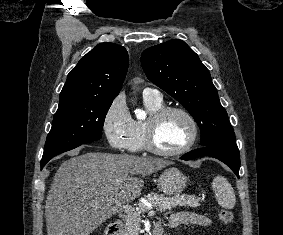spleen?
<instances>
[{
    "label": "spleen",
    "mask_w": 283,
    "mask_h": 235,
    "mask_svg": "<svg viewBox=\"0 0 283 235\" xmlns=\"http://www.w3.org/2000/svg\"><path fill=\"white\" fill-rule=\"evenodd\" d=\"M212 189L215 193L218 204L225 209H233L236 204V197L231 184L223 176L213 179Z\"/></svg>",
    "instance_id": "3e777b00"
}]
</instances>
